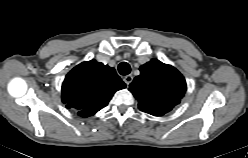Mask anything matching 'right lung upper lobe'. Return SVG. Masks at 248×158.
Listing matches in <instances>:
<instances>
[{
  "label": "right lung upper lobe",
  "instance_id": "right-lung-upper-lobe-1",
  "mask_svg": "<svg viewBox=\"0 0 248 158\" xmlns=\"http://www.w3.org/2000/svg\"><path fill=\"white\" fill-rule=\"evenodd\" d=\"M123 88L125 83L114 68L91 60L77 65L66 75L62 101L81 117H89L104 108L114 93Z\"/></svg>",
  "mask_w": 248,
  "mask_h": 158
}]
</instances>
